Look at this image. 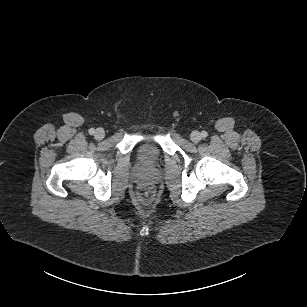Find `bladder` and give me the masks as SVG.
<instances>
[{"label": "bladder", "instance_id": "1", "mask_svg": "<svg viewBox=\"0 0 307 307\" xmlns=\"http://www.w3.org/2000/svg\"><path fill=\"white\" fill-rule=\"evenodd\" d=\"M138 158L143 164L152 166L160 159V151L157 146L147 143L139 148Z\"/></svg>", "mask_w": 307, "mask_h": 307}]
</instances>
